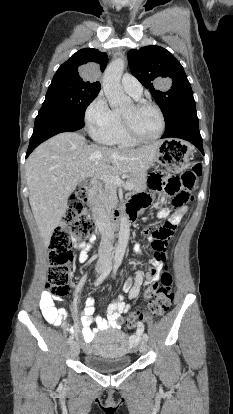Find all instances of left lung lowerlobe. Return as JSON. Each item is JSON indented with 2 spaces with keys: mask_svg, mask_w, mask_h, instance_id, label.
Instances as JSON below:
<instances>
[{
  "mask_svg": "<svg viewBox=\"0 0 233 414\" xmlns=\"http://www.w3.org/2000/svg\"><path fill=\"white\" fill-rule=\"evenodd\" d=\"M166 128L162 138H180L195 145L203 154L202 137L198 127L195 101L183 103L165 121Z\"/></svg>",
  "mask_w": 233,
  "mask_h": 414,
  "instance_id": "1",
  "label": "left lung lower lobe"
}]
</instances>
